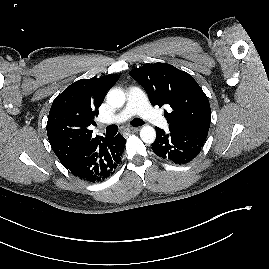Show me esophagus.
<instances>
[{
    "label": "esophagus",
    "instance_id": "esophagus-1",
    "mask_svg": "<svg viewBox=\"0 0 269 269\" xmlns=\"http://www.w3.org/2000/svg\"><path fill=\"white\" fill-rule=\"evenodd\" d=\"M126 131L129 132V133H135V132L139 131V128L131 127V128H127Z\"/></svg>",
    "mask_w": 269,
    "mask_h": 269
}]
</instances>
